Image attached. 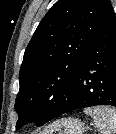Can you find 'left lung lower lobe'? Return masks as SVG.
<instances>
[{
	"label": "left lung lower lobe",
	"instance_id": "1",
	"mask_svg": "<svg viewBox=\"0 0 116 134\" xmlns=\"http://www.w3.org/2000/svg\"><path fill=\"white\" fill-rule=\"evenodd\" d=\"M116 107V17L112 11L98 31L79 73L75 89L50 120L81 108Z\"/></svg>",
	"mask_w": 116,
	"mask_h": 134
}]
</instances>
